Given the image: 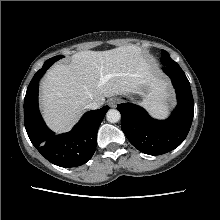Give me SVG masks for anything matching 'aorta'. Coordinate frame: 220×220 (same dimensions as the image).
Here are the masks:
<instances>
[{
    "label": "aorta",
    "mask_w": 220,
    "mask_h": 220,
    "mask_svg": "<svg viewBox=\"0 0 220 220\" xmlns=\"http://www.w3.org/2000/svg\"><path fill=\"white\" fill-rule=\"evenodd\" d=\"M121 115L120 112L116 109H110L107 113H106V119L107 121H109L110 123H116L120 120Z\"/></svg>",
    "instance_id": "1"
}]
</instances>
